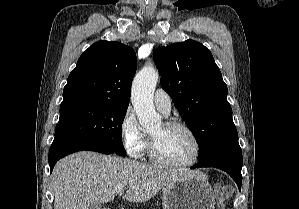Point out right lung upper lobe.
I'll return each mask as SVG.
<instances>
[{
    "label": "right lung upper lobe",
    "mask_w": 299,
    "mask_h": 209,
    "mask_svg": "<svg viewBox=\"0 0 299 209\" xmlns=\"http://www.w3.org/2000/svg\"><path fill=\"white\" fill-rule=\"evenodd\" d=\"M136 61L134 50L122 43L106 40L94 43L82 53L70 73L61 105L128 106Z\"/></svg>",
    "instance_id": "1"
}]
</instances>
